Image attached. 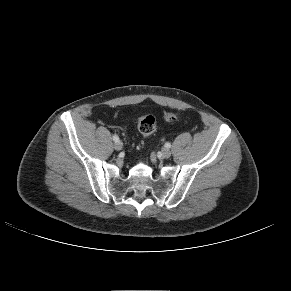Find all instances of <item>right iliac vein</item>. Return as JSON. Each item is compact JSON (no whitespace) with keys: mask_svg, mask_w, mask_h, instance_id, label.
Masks as SVG:
<instances>
[{"mask_svg":"<svg viewBox=\"0 0 291 291\" xmlns=\"http://www.w3.org/2000/svg\"><path fill=\"white\" fill-rule=\"evenodd\" d=\"M122 147H123V144H122V142L121 141H117V142H115V144H114V148L116 149V150H121L122 149Z\"/></svg>","mask_w":291,"mask_h":291,"instance_id":"right-iliac-vein-1","label":"right iliac vein"}]
</instances>
